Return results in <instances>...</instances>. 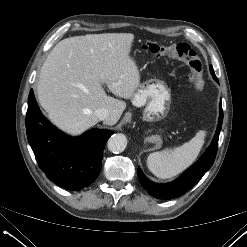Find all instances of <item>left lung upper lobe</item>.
<instances>
[{
	"label": "left lung upper lobe",
	"mask_w": 247,
	"mask_h": 247,
	"mask_svg": "<svg viewBox=\"0 0 247 247\" xmlns=\"http://www.w3.org/2000/svg\"><path fill=\"white\" fill-rule=\"evenodd\" d=\"M210 71H211V74H212V75H215L212 66L210 67Z\"/></svg>",
	"instance_id": "obj_1"
}]
</instances>
